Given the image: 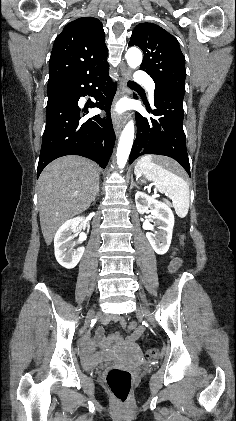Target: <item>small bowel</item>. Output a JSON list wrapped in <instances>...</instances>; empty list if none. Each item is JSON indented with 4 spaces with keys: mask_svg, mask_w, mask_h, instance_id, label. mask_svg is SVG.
I'll use <instances>...</instances> for the list:
<instances>
[{
    "mask_svg": "<svg viewBox=\"0 0 236 421\" xmlns=\"http://www.w3.org/2000/svg\"><path fill=\"white\" fill-rule=\"evenodd\" d=\"M130 327L132 328V329H134V332H135V334L136 335H140L141 333H142V330L140 329V328H138L135 324H131L130 325ZM102 334V333H101Z\"/></svg>",
    "mask_w": 236,
    "mask_h": 421,
    "instance_id": "small-bowel-1",
    "label": "small bowel"
}]
</instances>
